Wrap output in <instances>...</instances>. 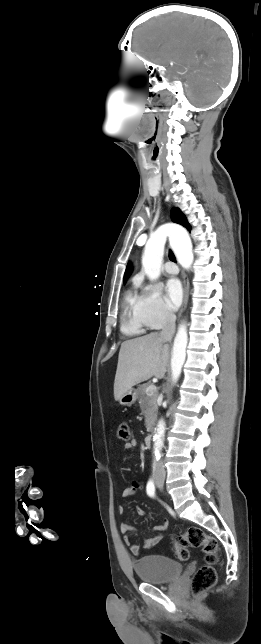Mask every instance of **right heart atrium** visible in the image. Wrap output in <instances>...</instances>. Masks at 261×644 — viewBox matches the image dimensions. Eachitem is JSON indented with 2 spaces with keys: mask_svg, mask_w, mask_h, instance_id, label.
I'll list each match as a JSON object with an SVG mask.
<instances>
[{
  "mask_svg": "<svg viewBox=\"0 0 261 644\" xmlns=\"http://www.w3.org/2000/svg\"><path fill=\"white\" fill-rule=\"evenodd\" d=\"M140 305L148 327L159 329L174 322V315L166 306L157 285L141 284Z\"/></svg>",
  "mask_w": 261,
  "mask_h": 644,
  "instance_id": "1",
  "label": "right heart atrium"
}]
</instances>
